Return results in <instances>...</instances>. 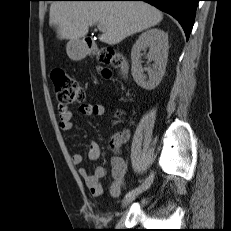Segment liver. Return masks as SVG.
<instances>
[{
    "mask_svg": "<svg viewBox=\"0 0 231 231\" xmlns=\"http://www.w3.org/2000/svg\"><path fill=\"white\" fill-rule=\"evenodd\" d=\"M163 19L162 13L144 2L128 1H56L50 6L49 24L59 39L79 40L89 26L102 24L99 40L115 45L125 38L153 27Z\"/></svg>",
    "mask_w": 231,
    "mask_h": 231,
    "instance_id": "obj_1",
    "label": "liver"
}]
</instances>
